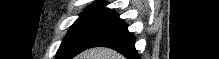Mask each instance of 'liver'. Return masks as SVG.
<instances>
[{"label": "liver", "instance_id": "liver-1", "mask_svg": "<svg viewBox=\"0 0 219 59\" xmlns=\"http://www.w3.org/2000/svg\"><path fill=\"white\" fill-rule=\"evenodd\" d=\"M76 59H124V57L112 49L98 47L82 52Z\"/></svg>", "mask_w": 219, "mask_h": 59}]
</instances>
